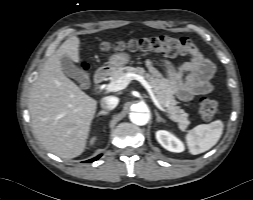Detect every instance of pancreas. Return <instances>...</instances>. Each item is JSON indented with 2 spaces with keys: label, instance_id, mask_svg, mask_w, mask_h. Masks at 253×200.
Masks as SVG:
<instances>
[{
  "label": "pancreas",
  "instance_id": "1",
  "mask_svg": "<svg viewBox=\"0 0 253 200\" xmlns=\"http://www.w3.org/2000/svg\"><path fill=\"white\" fill-rule=\"evenodd\" d=\"M126 73H135L143 76L148 80L155 97L160 105L168 112V116L171 120L178 123L181 130H185L189 124L188 114L183 109L176 106L173 93L170 89L168 81L158 72L156 69H151L146 72L142 67H120L111 73V82L118 80Z\"/></svg>",
  "mask_w": 253,
  "mask_h": 200
}]
</instances>
